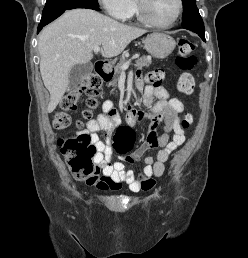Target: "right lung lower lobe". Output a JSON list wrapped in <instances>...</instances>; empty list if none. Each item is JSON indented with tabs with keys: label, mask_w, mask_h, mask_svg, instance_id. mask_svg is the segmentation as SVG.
<instances>
[{
	"label": "right lung lower lobe",
	"mask_w": 248,
	"mask_h": 258,
	"mask_svg": "<svg viewBox=\"0 0 248 258\" xmlns=\"http://www.w3.org/2000/svg\"><path fill=\"white\" fill-rule=\"evenodd\" d=\"M74 8H89V9H93V10L99 11V7L93 6V5H88V4L78 5V6H75V7L71 8V9H74ZM67 10H70V9H67ZM64 12H65V10L60 11V12H58V13H56V14H54V15H51V16H49V17H46V18L41 19L40 24L38 25V31H37V33H39V32L41 31V29H42L45 25H47V24H49L50 22H52L53 20H55L57 17H59V16H60L61 14H63Z\"/></svg>",
	"instance_id": "98d812e1"
}]
</instances>
